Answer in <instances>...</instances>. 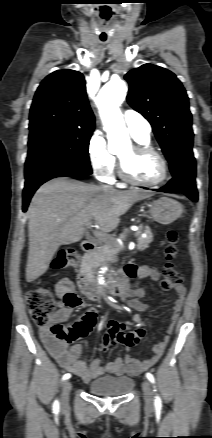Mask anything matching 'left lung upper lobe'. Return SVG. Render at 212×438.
<instances>
[{"mask_svg": "<svg viewBox=\"0 0 212 438\" xmlns=\"http://www.w3.org/2000/svg\"><path fill=\"white\" fill-rule=\"evenodd\" d=\"M125 79L130 86L129 105L150 122L167 160L192 149V115L179 79L153 64L132 69Z\"/></svg>", "mask_w": 212, "mask_h": 438, "instance_id": "obj_1", "label": "left lung upper lobe"}]
</instances>
